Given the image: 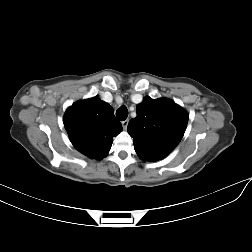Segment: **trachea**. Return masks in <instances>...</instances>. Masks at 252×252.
Instances as JSON below:
<instances>
[{
    "mask_svg": "<svg viewBox=\"0 0 252 252\" xmlns=\"http://www.w3.org/2000/svg\"><path fill=\"white\" fill-rule=\"evenodd\" d=\"M116 116L119 120L124 121L128 117V110L125 106H121L116 111Z\"/></svg>",
    "mask_w": 252,
    "mask_h": 252,
    "instance_id": "trachea-1",
    "label": "trachea"
}]
</instances>
